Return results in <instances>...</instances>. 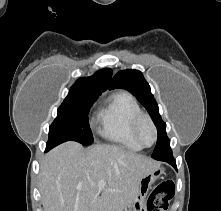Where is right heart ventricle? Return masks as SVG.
<instances>
[{
	"label": "right heart ventricle",
	"instance_id": "right-heart-ventricle-1",
	"mask_svg": "<svg viewBox=\"0 0 221 211\" xmlns=\"http://www.w3.org/2000/svg\"><path fill=\"white\" fill-rule=\"evenodd\" d=\"M142 110L134 96L125 90L111 94L97 114L99 134L106 140L132 151L143 147L132 134V121Z\"/></svg>",
	"mask_w": 221,
	"mask_h": 211
}]
</instances>
